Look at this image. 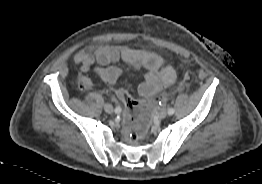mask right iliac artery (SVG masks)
Wrapping results in <instances>:
<instances>
[{
    "instance_id": "82829eb1",
    "label": "right iliac artery",
    "mask_w": 262,
    "mask_h": 184,
    "mask_svg": "<svg viewBox=\"0 0 262 184\" xmlns=\"http://www.w3.org/2000/svg\"><path fill=\"white\" fill-rule=\"evenodd\" d=\"M121 111V107L120 106H117L116 108H115V113H119Z\"/></svg>"
}]
</instances>
